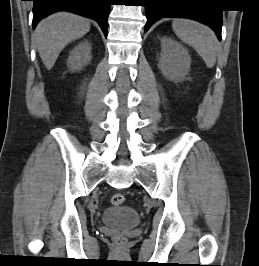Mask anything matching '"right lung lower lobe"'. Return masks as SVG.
Wrapping results in <instances>:
<instances>
[{
	"instance_id": "right-lung-lower-lobe-1",
	"label": "right lung lower lobe",
	"mask_w": 259,
	"mask_h": 266,
	"mask_svg": "<svg viewBox=\"0 0 259 266\" xmlns=\"http://www.w3.org/2000/svg\"><path fill=\"white\" fill-rule=\"evenodd\" d=\"M33 28L44 17L57 12L69 11L91 19L100 25L105 37L111 0H33Z\"/></svg>"
}]
</instances>
